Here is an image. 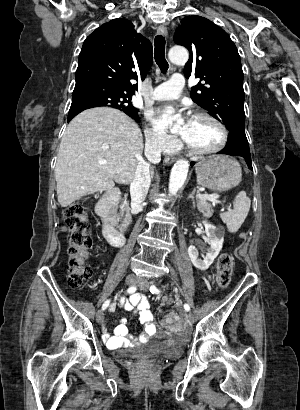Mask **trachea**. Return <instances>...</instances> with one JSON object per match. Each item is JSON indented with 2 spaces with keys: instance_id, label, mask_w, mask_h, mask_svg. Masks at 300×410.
<instances>
[{
  "instance_id": "trachea-1",
  "label": "trachea",
  "mask_w": 300,
  "mask_h": 410,
  "mask_svg": "<svg viewBox=\"0 0 300 410\" xmlns=\"http://www.w3.org/2000/svg\"><path fill=\"white\" fill-rule=\"evenodd\" d=\"M154 45L155 62L159 66L161 72L166 73L168 70V62L165 58V38L162 35H157L154 40Z\"/></svg>"
}]
</instances>
